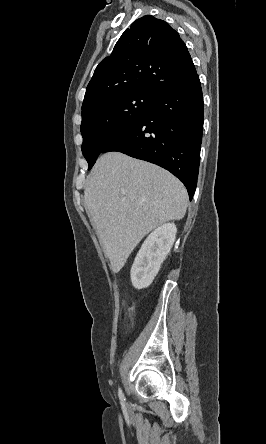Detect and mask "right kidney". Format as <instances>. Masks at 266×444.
<instances>
[{"label": "right kidney", "instance_id": "ca27d5eb", "mask_svg": "<svg viewBox=\"0 0 266 444\" xmlns=\"http://www.w3.org/2000/svg\"><path fill=\"white\" fill-rule=\"evenodd\" d=\"M176 233V225L166 223L151 232L144 241L130 273L132 285L136 289L146 288L153 282L174 244Z\"/></svg>", "mask_w": 266, "mask_h": 444}]
</instances>
